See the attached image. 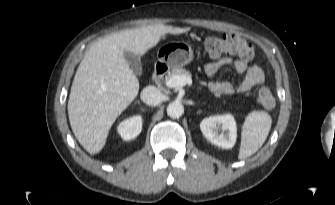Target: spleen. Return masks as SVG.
<instances>
[{"label":"spleen","mask_w":335,"mask_h":205,"mask_svg":"<svg viewBox=\"0 0 335 205\" xmlns=\"http://www.w3.org/2000/svg\"><path fill=\"white\" fill-rule=\"evenodd\" d=\"M272 119L265 111L250 112L242 126L238 158L246 159L264 144L271 129Z\"/></svg>","instance_id":"obj_1"}]
</instances>
